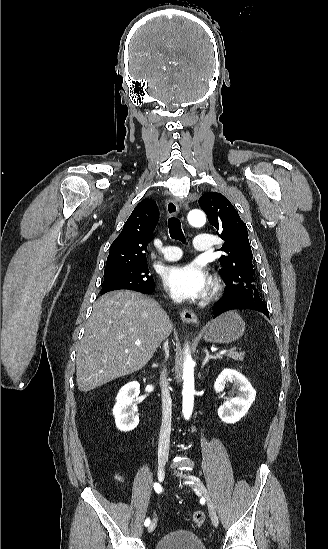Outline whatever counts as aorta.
Returning <instances> with one entry per match:
<instances>
[{
    "label": "aorta",
    "mask_w": 328,
    "mask_h": 549,
    "mask_svg": "<svg viewBox=\"0 0 328 549\" xmlns=\"http://www.w3.org/2000/svg\"><path fill=\"white\" fill-rule=\"evenodd\" d=\"M188 222L194 226V227H201L206 222V217L203 211L199 209L191 210L188 213L187 216ZM186 356L184 359V365H183V405H182V413L186 420H189L192 411H193V404H194V361L191 358V355L188 353V349L186 350Z\"/></svg>",
    "instance_id": "aorta-1"
}]
</instances>
